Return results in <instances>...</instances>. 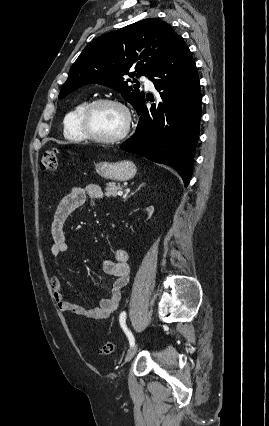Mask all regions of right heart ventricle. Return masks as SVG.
Here are the masks:
<instances>
[{
    "label": "right heart ventricle",
    "mask_w": 269,
    "mask_h": 426,
    "mask_svg": "<svg viewBox=\"0 0 269 426\" xmlns=\"http://www.w3.org/2000/svg\"><path fill=\"white\" fill-rule=\"evenodd\" d=\"M89 103L88 100H83L76 105H74L64 117V135L74 141H83L86 139L81 126H80V116Z\"/></svg>",
    "instance_id": "e07e8e85"
}]
</instances>
